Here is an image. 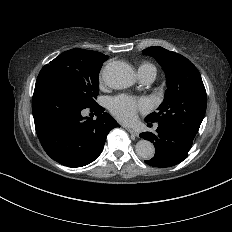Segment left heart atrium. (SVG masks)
I'll return each instance as SVG.
<instances>
[{"label": "left heart atrium", "mask_w": 232, "mask_h": 232, "mask_svg": "<svg viewBox=\"0 0 232 232\" xmlns=\"http://www.w3.org/2000/svg\"><path fill=\"white\" fill-rule=\"evenodd\" d=\"M144 100H135L127 96H118L111 100L110 110L123 123H131L136 119L138 111H146Z\"/></svg>", "instance_id": "39dd6f15"}]
</instances>
